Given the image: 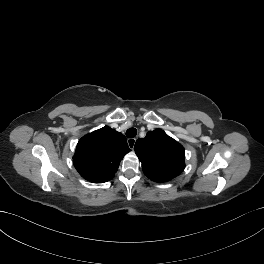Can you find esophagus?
Masks as SVG:
<instances>
[{
	"label": "esophagus",
	"mask_w": 264,
	"mask_h": 264,
	"mask_svg": "<svg viewBox=\"0 0 264 264\" xmlns=\"http://www.w3.org/2000/svg\"><path fill=\"white\" fill-rule=\"evenodd\" d=\"M127 143H128V146L131 149H134V146H135V143H136V139L135 138H130V139L127 140Z\"/></svg>",
	"instance_id": "obj_1"
}]
</instances>
